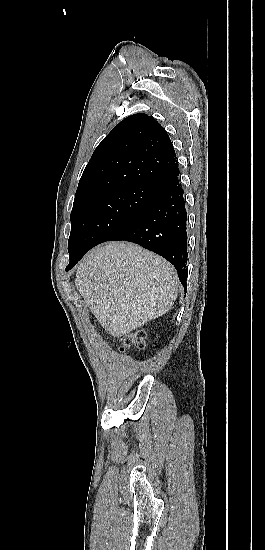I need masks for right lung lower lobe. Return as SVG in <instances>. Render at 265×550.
<instances>
[{
  "instance_id": "1",
  "label": "right lung lower lobe",
  "mask_w": 265,
  "mask_h": 550,
  "mask_svg": "<svg viewBox=\"0 0 265 550\" xmlns=\"http://www.w3.org/2000/svg\"><path fill=\"white\" fill-rule=\"evenodd\" d=\"M178 176L176 166L161 179L145 210L109 240L134 242L161 255L174 265L181 283L186 287L187 213Z\"/></svg>"
}]
</instances>
